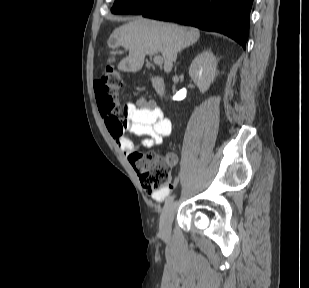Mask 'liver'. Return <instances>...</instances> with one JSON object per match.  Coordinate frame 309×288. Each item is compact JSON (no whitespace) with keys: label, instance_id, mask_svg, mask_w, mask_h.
<instances>
[{"label":"liver","instance_id":"6515ba94","mask_svg":"<svg viewBox=\"0 0 309 288\" xmlns=\"http://www.w3.org/2000/svg\"><path fill=\"white\" fill-rule=\"evenodd\" d=\"M199 37L200 32L196 28L138 17L115 29L108 45L113 50L121 46L129 51L118 65L120 71L137 72L142 68L146 55L161 53L164 71L169 73L177 53L196 43ZM111 54L115 55V52ZM114 61V57L108 59V63Z\"/></svg>","mask_w":309,"mask_h":288}]
</instances>
